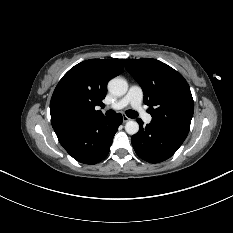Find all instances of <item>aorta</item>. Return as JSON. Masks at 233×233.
I'll return each mask as SVG.
<instances>
[{
	"label": "aorta",
	"instance_id": "obj_1",
	"mask_svg": "<svg viewBox=\"0 0 233 233\" xmlns=\"http://www.w3.org/2000/svg\"><path fill=\"white\" fill-rule=\"evenodd\" d=\"M108 90L115 96H123L128 91V83L123 78H113L108 83ZM125 131L130 135L137 134L139 131V124L136 121L130 120L125 125Z\"/></svg>",
	"mask_w": 233,
	"mask_h": 233
}]
</instances>
